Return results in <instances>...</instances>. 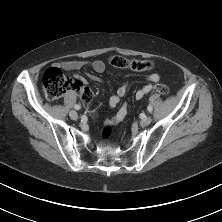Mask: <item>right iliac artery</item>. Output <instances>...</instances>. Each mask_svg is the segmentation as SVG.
<instances>
[{
	"instance_id": "obj_1",
	"label": "right iliac artery",
	"mask_w": 222,
	"mask_h": 222,
	"mask_svg": "<svg viewBox=\"0 0 222 222\" xmlns=\"http://www.w3.org/2000/svg\"><path fill=\"white\" fill-rule=\"evenodd\" d=\"M74 108H75L76 110H79L81 107H80V105L76 104V105L74 106Z\"/></svg>"
}]
</instances>
